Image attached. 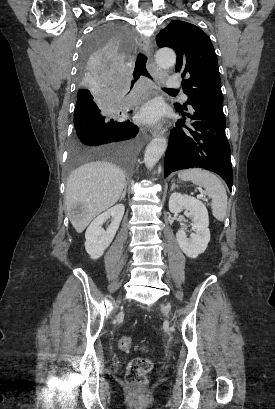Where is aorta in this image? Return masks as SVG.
<instances>
[{
  "instance_id": "1",
  "label": "aorta",
  "mask_w": 275,
  "mask_h": 409,
  "mask_svg": "<svg viewBox=\"0 0 275 409\" xmlns=\"http://www.w3.org/2000/svg\"><path fill=\"white\" fill-rule=\"evenodd\" d=\"M155 58L161 68H170V66H174L176 62V54L171 48H161V50L156 52ZM166 148L167 138H164V136L152 138L151 142L146 146L144 154V162L147 168H152V166L158 162Z\"/></svg>"
}]
</instances>
